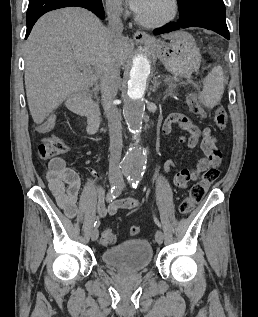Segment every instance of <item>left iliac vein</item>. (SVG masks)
I'll use <instances>...</instances> for the list:
<instances>
[{
	"label": "left iliac vein",
	"instance_id": "1",
	"mask_svg": "<svg viewBox=\"0 0 258 317\" xmlns=\"http://www.w3.org/2000/svg\"><path fill=\"white\" fill-rule=\"evenodd\" d=\"M118 182L121 183V185L119 186L120 188L126 186V183L123 182V179H122V178H119V179H118ZM155 236H156V240H157V241H162V240H163L164 233H163L161 230H156ZM159 244L161 245L162 243L160 242Z\"/></svg>",
	"mask_w": 258,
	"mask_h": 317
}]
</instances>
